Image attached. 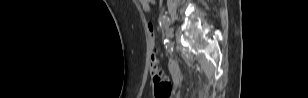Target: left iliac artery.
Masks as SVG:
<instances>
[{
	"instance_id": "1",
	"label": "left iliac artery",
	"mask_w": 308,
	"mask_h": 98,
	"mask_svg": "<svg viewBox=\"0 0 308 98\" xmlns=\"http://www.w3.org/2000/svg\"><path fill=\"white\" fill-rule=\"evenodd\" d=\"M159 24L161 27H167L170 24V19L168 16L163 15L160 19H159Z\"/></svg>"
}]
</instances>
